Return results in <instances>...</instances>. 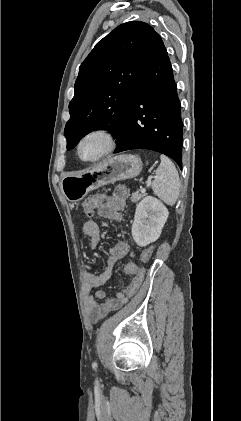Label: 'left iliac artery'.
I'll use <instances>...</instances> for the list:
<instances>
[{"label": "left iliac artery", "instance_id": "obj_1", "mask_svg": "<svg viewBox=\"0 0 241 421\" xmlns=\"http://www.w3.org/2000/svg\"><path fill=\"white\" fill-rule=\"evenodd\" d=\"M96 366H97V363H96V362H94V363H93V367H96Z\"/></svg>", "mask_w": 241, "mask_h": 421}]
</instances>
